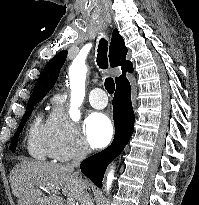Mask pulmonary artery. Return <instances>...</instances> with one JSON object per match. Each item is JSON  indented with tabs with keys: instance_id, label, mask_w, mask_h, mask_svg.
I'll list each match as a JSON object with an SVG mask.
<instances>
[{
	"instance_id": "pulmonary-artery-1",
	"label": "pulmonary artery",
	"mask_w": 199,
	"mask_h": 205,
	"mask_svg": "<svg viewBox=\"0 0 199 205\" xmlns=\"http://www.w3.org/2000/svg\"><path fill=\"white\" fill-rule=\"evenodd\" d=\"M89 101L92 107L102 109L107 105V97L101 88H95L91 91Z\"/></svg>"
}]
</instances>
